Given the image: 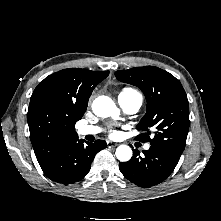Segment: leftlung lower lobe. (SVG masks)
Wrapping results in <instances>:
<instances>
[{
    "instance_id": "left-lung-lower-lobe-1",
    "label": "left lung lower lobe",
    "mask_w": 221,
    "mask_h": 221,
    "mask_svg": "<svg viewBox=\"0 0 221 221\" xmlns=\"http://www.w3.org/2000/svg\"><path fill=\"white\" fill-rule=\"evenodd\" d=\"M128 162L119 163L121 173L140 187H150L164 181L176 167L180 156L159 146L144 150L141 157L137 149Z\"/></svg>"
}]
</instances>
